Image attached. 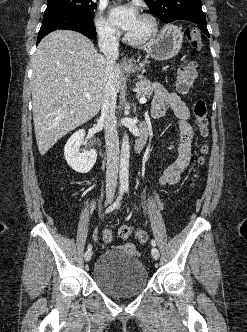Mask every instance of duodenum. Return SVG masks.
Listing matches in <instances>:
<instances>
[{"label":"duodenum","instance_id":"duodenum-1","mask_svg":"<svg viewBox=\"0 0 247 332\" xmlns=\"http://www.w3.org/2000/svg\"><path fill=\"white\" fill-rule=\"evenodd\" d=\"M146 141H147V130L144 125H141L139 135L136 138L135 144H134V150L136 153H139L142 151V149L144 148V146L146 144Z\"/></svg>","mask_w":247,"mask_h":332}]
</instances>
